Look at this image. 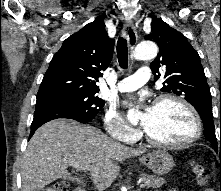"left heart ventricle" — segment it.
<instances>
[{
	"mask_svg": "<svg viewBox=\"0 0 221 191\" xmlns=\"http://www.w3.org/2000/svg\"><path fill=\"white\" fill-rule=\"evenodd\" d=\"M152 138L164 142H180L194 132L189 112L174 101H165L152 108L144 129Z\"/></svg>",
	"mask_w": 221,
	"mask_h": 191,
	"instance_id": "1",
	"label": "left heart ventricle"
}]
</instances>
